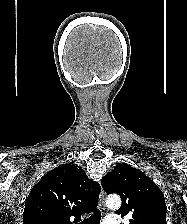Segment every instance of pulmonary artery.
Listing matches in <instances>:
<instances>
[{
  "label": "pulmonary artery",
  "mask_w": 187,
  "mask_h": 224,
  "mask_svg": "<svg viewBox=\"0 0 187 224\" xmlns=\"http://www.w3.org/2000/svg\"><path fill=\"white\" fill-rule=\"evenodd\" d=\"M120 221L117 217L112 218H106V220L103 222V224H119Z\"/></svg>",
  "instance_id": "obj_1"
}]
</instances>
